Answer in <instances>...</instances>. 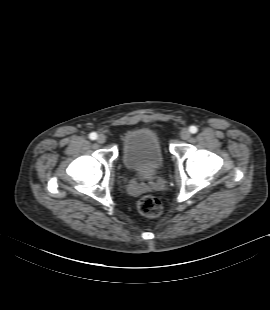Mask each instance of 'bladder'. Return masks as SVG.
I'll use <instances>...</instances> for the list:
<instances>
[{"label":"bladder","mask_w":270,"mask_h":310,"mask_svg":"<svg viewBox=\"0 0 270 310\" xmlns=\"http://www.w3.org/2000/svg\"><path fill=\"white\" fill-rule=\"evenodd\" d=\"M122 162L132 172L155 175L164 164L158 135L149 128L130 131L122 141Z\"/></svg>","instance_id":"31cf9c89"}]
</instances>
